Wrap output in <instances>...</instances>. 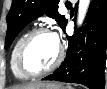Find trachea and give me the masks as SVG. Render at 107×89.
<instances>
[{
	"label": "trachea",
	"mask_w": 107,
	"mask_h": 89,
	"mask_svg": "<svg viewBox=\"0 0 107 89\" xmlns=\"http://www.w3.org/2000/svg\"><path fill=\"white\" fill-rule=\"evenodd\" d=\"M66 5H67V6H71V4H70V3H67Z\"/></svg>",
	"instance_id": "trachea-1"
}]
</instances>
